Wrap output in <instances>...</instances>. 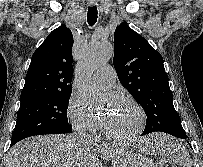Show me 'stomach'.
<instances>
[{
	"label": "stomach",
	"mask_w": 203,
	"mask_h": 167,
	"mask_svg": "<svg viewBox=\"0 0 203 167\" xmlns=\"http://www.w3.org/2000/svg\"><path fill=\"white\" fill-rule=\"evenodd\" d=\"M144 152H147V149H145ZM114 167H154V164L150 159L141 154L126 152L116 162Z\"/></svg>",
	"instance_id": "stomach-1"
}]
</instances>
